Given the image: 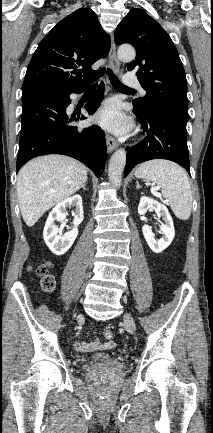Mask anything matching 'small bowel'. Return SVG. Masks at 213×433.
<instances>
[{"instance_id": "small-bowel-1", "label": "small bowel", "mask_w": 213, "mask_h": 433, "mask_svg": "<svg viewBox=\"0 0 213 433\" xmlns=\"http://www.w3.org/2000/svg\"><path fill=\"white\" fill-rule=\"evenodd\" d=\"M114 346L115 343L113 341H107V342L94 341L90 343L84 341H76L75 343V349L79 352H90L99 349H109Z\"/></svg>"}]
</instances>
